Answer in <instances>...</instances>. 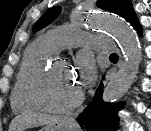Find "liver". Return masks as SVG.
Returning a JSON list of instances; mask_svg holds the SVG:
<instances>
[{
	"label": "liver",
	"instance_id": "1",
	"mask_svg": "<svg viewBox=\"0 0 151 131\" xmlns=\"http://www.w3.org/2000/svg\"><path fill=\"white\" fill-rule=\"evenodd\" d=\"M60 121L59 118L41 113H23L16 116L9 125V131H24L30 127L50 125Z\"/></svg>",
	"mask_w": 151,
	"mask_h": 131
}]
</instances>
